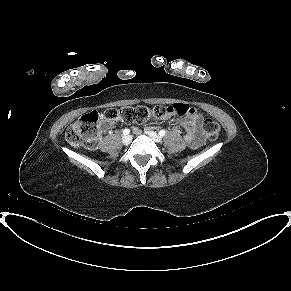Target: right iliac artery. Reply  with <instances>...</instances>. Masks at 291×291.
<instances>
[{"instance_id":"right-iliac-artery-1","label":"right iliac artery","mask_w":291,"mask_h":291,"mask_svg":"<svg viewBox=\"0 0 291 291\" xmlns=\"http://www.w3.org/2000/svg\"><path fill=\"white\" fill-rule=\"evenodd\" d=\"M129 133H130V130H129V129H124V130H123V134L127 135V134H129Z\"/></svg>"}]
</instances>
